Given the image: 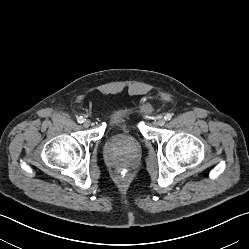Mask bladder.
Here are the masks:
<instances>
[{"mask_svg":"<svg viewBox=\"0 0 249 249\" xmlns=\"http://www.w3.org/2000/svg\"><path fill=\"white\" fill-rule=\"evenodd\" d=\"M142 113H144L143 104H135L133 106L123 108L110 120L108 128L122 123L133 116L141 115Z\"/></svg>","mask_w":249,"mask_h":249,"instance_id":"obj_1","label":"bladder"}]
</instances>
